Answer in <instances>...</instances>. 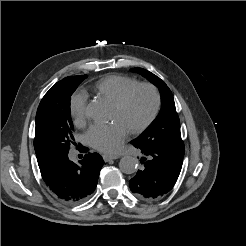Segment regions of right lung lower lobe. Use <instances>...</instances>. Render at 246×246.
Wrapping results in <instances>:
<instances>
[{"label":"right lung lower lobe","mask_w":246,"mask_h":246,"mask_svg":"<svg viewBox=\"0 0 246 246\" xmlns=\"http://www.w3.org/2000/svg\"><path fill=\"white\" fill-rule=\"evenodd\" d=\"M80 150L88 151L84 146ZM103 165L98 153H87L79 164L70 161L66 154L44 160L39 168L50 191L61 201L73 204L84 201L94 192Z\"/></svg>","instance_id":"obj_1"}]
</instances>
